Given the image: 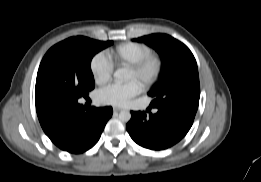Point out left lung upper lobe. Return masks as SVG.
Returning a JSON list of instances; mask_svg holds the SVG:
<instances>
[{"mask_svg":"<svg viewBox=\"0 0 261 182\" xmlns=\"http://www.w3.org/2000/svg\"><path fill=\"white\" fill-rule=\"evenodd\" d=\"M153 47L161 56L163 69L158 84L149 95L150 106L169 107L180 103L199 104L200 84L196 60L189 48L167 34L134 39Z\"/></svg>","mask_w":261,"mask_h":182,"instance_id":"5c2ea615","label":"left lung upper lobe"}]
</instances>
